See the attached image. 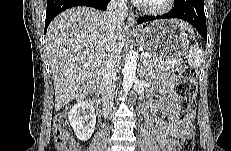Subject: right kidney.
Returning a JSON list of instances; mask_svg holds the SVG:
<instances>
[{
	"mask_svg": "<svg viewBox=\"0 0 231 151\" xmlns=\"http://www.w3.org/2000/svg\"><path fill=\"white\" fill-rule=\"evenodd\" d=\"M68 119L79 140L86 141L92 136L96 125V114L88 102L79 101L72 106Z\"/></svg>",
	"mask_w": 231,
	"mask_h": 151,
	"instance_id": "ca27d5eb",
	"label": "right kidney"
}]
</instances>
